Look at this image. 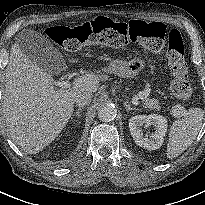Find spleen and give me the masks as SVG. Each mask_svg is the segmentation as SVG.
<instances>
[{
  "label": "spleen",
  "instance_id": "1",
  "mask_svg": "<svg viewBox=\"0 0 205 205\" xmlns=\"http://www.w3.org/2000/svg\"><path fill=\"white\" fill-rule=\"evenodd\" d=\"M204 117L201 108H191L181 119L173 122L169 132L167 144V158L173 159L185 151L195 140Z\"/></svg>",
  "mask_w": 205,
  "mask_h": 205
}]
</instances>
